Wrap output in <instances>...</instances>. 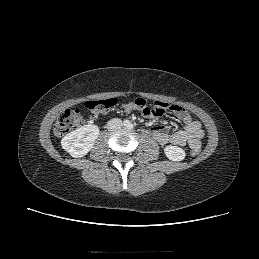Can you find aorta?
Masks as SVG:
<instances>
[{
	"instance_id": "1",
	"label": "aorta",
	"mask_w": 259,
	"mask_h": 259,
	"mask_svg": "<svg viewBox=\"0 0 259 259\" xmlns=\"http://www.w3.org/2000/svg\"><path fill=\"white\" fill-rule=\"evenodd\" d=\"M126 127H128V128H129V127H130V123H128V124L126 125Z\"/></svg>"
}]
</instances>
